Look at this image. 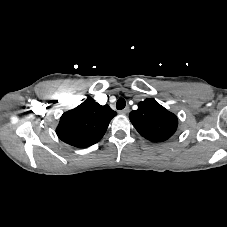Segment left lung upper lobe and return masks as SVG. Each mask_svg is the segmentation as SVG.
Returning a JSON list of instances; mask_svg holds the SVG:
<instances>
[{
	"mask_svg": "<svg viewBox=\"0 0 227 227\" xmlns=\"http://www.w3.org/2000/svg\"><path fill=\"white\" fill-rule=\"evenodd\" d=\"M129 118L136 130L152 142H163L176 131L178 119L154 99H145Z\"/></svg>",
	"mask_w": 227,
	"mask_h": 227,
	"instance_id": "1",
	"label": "left lung upper lobe"
}]
</instances>
